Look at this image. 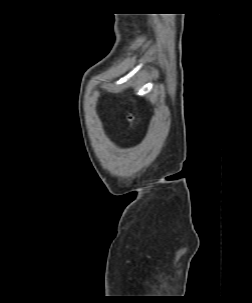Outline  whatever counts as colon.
I'll return each mask as SVG.
<instances>
[{
    "mask_svg": "<svg viewBox=\"0 0 252 303\" xmlns=\"http://www.w3.org/2000/svg\"><path fill=\"white\" fill-rule=\"evenodd\" d=\"M134 121H135L134 113L132 111H129L126 116V123L123 129V132L125 134L129 135L131 133L133 129Z\"/></svg>",
    "mask_w": 252,
    "mask_h": 303,
    "instance_id": "5ec220e1",
    "label": "colon"
}]
</instances>
